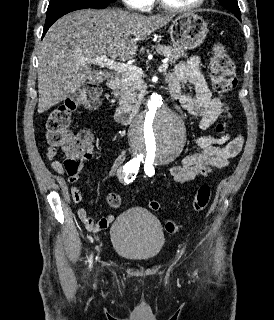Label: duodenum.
<instances>
[{"instance_id":"duodenum-1","label":"duodenum","mask_w":274,"mask_h":320,"mask_svg":"<svg viewBox=\"0 0 274 320\" xmlns=\"http://www.w3.org/2000/svg\"><path fill=\"white\" fill-rule=\"evenodd\" d=\"M107 82H108V86L111 90H116L121 83V79H120L119 75H111L107 79ZM171 100L176 101L177 95L171 94ZM136 114H137V112L134 109L118 108L115 110V120L121 124H129L134 119Z\"/></svg>"}]
</instances>
